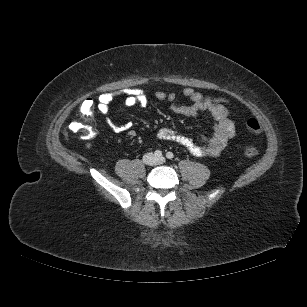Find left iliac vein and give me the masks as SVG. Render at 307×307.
<instances>
[{
	"label": "left iliac vein",
	"mask_w": 307,
	"mask_h": 307,
	"mask_svg": "<svg viewBox=\"0 0 307 307\" xmlns=\"http://www.w3.org/2000/svg\"><path fill=\"white\" fill-rule=\"evenodd\" d=\"M164 162H165V158L164 157H161V158L157 159V163H159V164H162Z\"/></svg>",
	"instance_id": "obj_1"
}]
</instances>
